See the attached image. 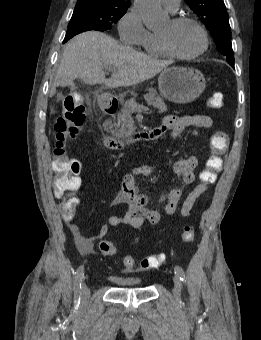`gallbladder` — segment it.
I'll list each match as a JSON object with an SVG mask.
<instances>
[{"mask_svg":"<svg viewBox=\"0 0 261 340\" xmlns=\"http://www.w3.org/2000/svg\"><path fill=\"white\" fill-rule=\"evenodd\" d=\"M72 84H73V81L66 83V84H63L62 86H69V85H72Z\"/></svg>","mask_w":261,"mask_h":340,"instance_id":"bac80fb5","label":"gallbladder"}]
</instances>
